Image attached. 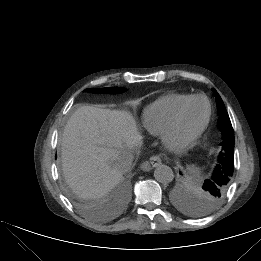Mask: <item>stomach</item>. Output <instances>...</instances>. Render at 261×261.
I'll return each instance as SVG.
<instances>
[{"label": "stomach", "mask_w": 261, "mask_h": 261, "mask_svg": "<svg viewBox=\"0 0 261 261\" xmlns=\"http://www.w3.org/2000/svg\"><path fill=\"white\" fill-rule=\"evenodd\" d=\"M188 170H189L190 174H194L195 173V168L193 166H190L188 168Z\"/></svg>", "instance_id": "obj_1"}]
</instances>
